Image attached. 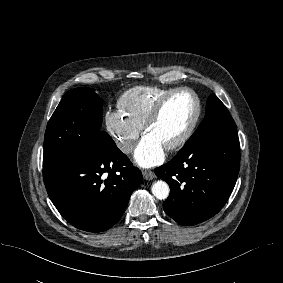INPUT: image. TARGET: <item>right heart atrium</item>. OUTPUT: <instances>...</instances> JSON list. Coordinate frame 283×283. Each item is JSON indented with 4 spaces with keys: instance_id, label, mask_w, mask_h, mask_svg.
Returning <instances> with one entry per match:
<instances>
[{
    "instance_id": "obj_1",
    "label": "right heart atrium",
    "mask_w": 283,
    "mask_h": 283,
    "mask_svg": "<svg viewBox=\"0 0 283 283\" xmlns=\"http://www.w3.org/2000/svg\"><path fill=\"white\" fill-rule=\"evenodd\" d=\"M105 124L117 147L125 154L133 151L140 129L128 121L119 109H110L105 113Z\"/></svg>"
}]
</instances>
